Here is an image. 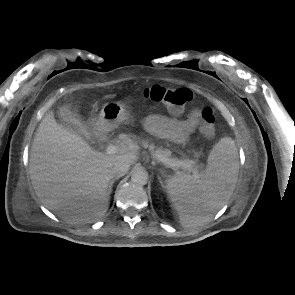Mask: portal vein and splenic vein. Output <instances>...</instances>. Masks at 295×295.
<instances>
[{
	"instance_id": "1",
	"label": "portal vein and splenic vein",
	"mask_w": 295,
	"mask_h": 295,
	"mask_svg": "<svg viewBox=\"0 0 295 295\" xmlns=\"http://www.w3.org/2000/svg\"><path fill=\"white\" fill-rule=\"evenodd\" d=\"M118 148L115 145H109L106 149L107 154L113 155L117 152ZM159 158V161H161L165 166L169 168H174V167H184V168H191L194 172V174H197L196 168H194V162L191 160H172L168 159L166 157H162L161 155H157Z\"/></svg>"
}]
</instances>
